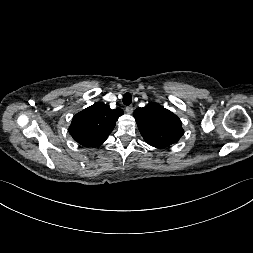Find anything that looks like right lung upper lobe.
<instances>
[{"mask_svg":"<svg viewBox=\"0 0 253 253\" xmlns=\"http://www.w3.org/2000/svg\"><path fill=\"white\" fill-rule=\"evenodd\" d=\"M122 114V109L112 110L108 105L97 102L73 117L69 132L76 142L85 147L99 146Z\"/></svg>","mask_w":253,"mask_h":253,"instance_id":"1","label":"right lung upper lobe"}]
</instances>
